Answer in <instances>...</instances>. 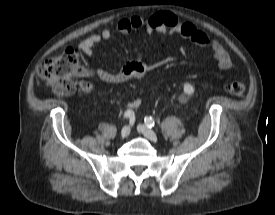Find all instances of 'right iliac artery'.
I'll return each mask as SVG.
<instances>
[{"label":"right iliac artery","instance_id":"1","mask_svg":"<svg viewBox=\"0 0 275 215\" xmlns=\"http://www.w3.org/2000/svg\"><path fill=\"white\" fill-rule=\"evenodd\" d=\"M129 118L130 121L134 118V112L131 111V110H127L125 113H124V119H127Z\"/></svg>","mask_w":275,"mask_h":215}]
</instances>
